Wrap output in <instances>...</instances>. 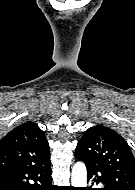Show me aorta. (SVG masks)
Here are the masks:
<instances>
[{
    "mask_svg": "<svg viewBox=\"0 0 135 190\" xmlns=\"http://www.w3.org/2000/svg\"><path fill=\"white\" fill-rule=\"evenodd\" d=\"M71 183L73 187H86L87 186V170L83 162H77L71 173Z\"/></svg>",
    "mask_w": 135,
    "mask_h": 190,
    "instance_id": "obj_1",
    "label": "aorta"
}]
</instances>
